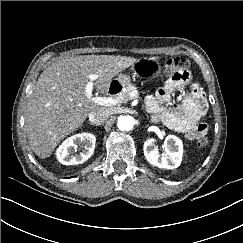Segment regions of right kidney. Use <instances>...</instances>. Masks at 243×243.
I'll use <instances>...</instances> for the list:
<instances>
[{
    "mask_svg": "<svg viewBox=\"0 0 243 243\" xmlns=\"http://www.w3.org/2000/svg\"><path fill=\"white\" fill-rule=\"evenodd\" d=\"M96 138L91 133H80L67 138L58 147L56 156L58 161L64 165H77L88 160L95 149ZM81 152L77 153V148Z\"/></svg>",
    "mask_w": 243,
    "mask_h": 243,
    "instance_id": "obj_1",
    "label": "right kidney"
}]
</instances>
